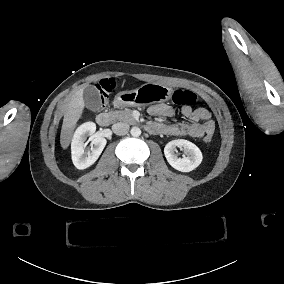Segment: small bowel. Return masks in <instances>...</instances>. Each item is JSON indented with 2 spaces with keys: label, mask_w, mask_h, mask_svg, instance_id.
Here are the masks:
<instances>
[{
  "label": "small bowel",
  "mask_w": 284,
  "mask_h": 284,
  "mask_svg": "<svg viewBox=\"0 0 284 284\" xmlns=\"http://www.w3.org/2000/svg\"><path fill=\"white\" fill-rule=\"evenodd\" d=\"M152 117H172L175 114L173 107L167 104H156L148 109ZM182 115L189 119L191 123L178 122L173 124H162L159 122H150L147 128L151 132L161 131L166 135L173 137L190 136L193 138H202L212 136L215 131V122L211 120V114L208 109L189 106L182 107Z\"/></svg>",
  "instance_id": "c3829d8e"
}]
</instances>
